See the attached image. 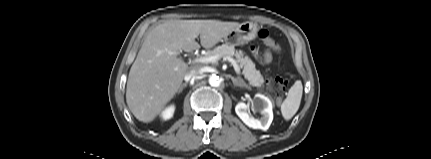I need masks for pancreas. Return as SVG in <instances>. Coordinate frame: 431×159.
<instances>
[{
  "instance_id": "obj_1",
  "label": "pancreas",
  "mask_w": 431,
  "mask_h": 159,
  "mask_svg": "<svg viewBox=\"0 0 431 159\" xmlns=\"http://www.w3.org/2000/svg\"><path fill=\"white\" fill-rule=\"evenodd\" d=\"M207 55H218L220 58L234 56L240 68L243 69L242 73L248 80L249 85L259 88L264 87L265 81L260 71L256 70L254 62L242 50H235L234 46L223 44L209 51Z\"/></svg>"
}]
</instances>
